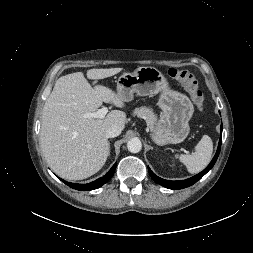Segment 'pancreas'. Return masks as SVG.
I'll use <instances>...</instances> for the list:
<instances>
[{"label": "pancreas", "mask_w": 253, "mask_h": 253, "mask_svg": "<svg viewBox=\"0 0 253 253\" xmlns=\"http://www.w3.org/2000/svg\"><path fill=\"white\" fill-rule=\"evenodd\" d=\"M134 115L139 117V118H143L146 123L147 126L153 130L156 123H157V117L156 115L153 113L152 109L147 108V107H141V108H137L134 111Z\"/></svg>", "instance_id": "pancreas-1"}]
</instances>
